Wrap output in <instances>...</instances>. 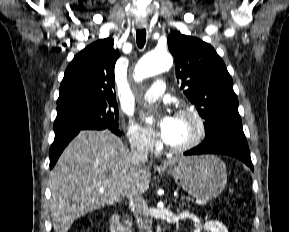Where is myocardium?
Wrapping results in <instances>:
<instances>
[{"label":"myocardium","instance_id":"obj_1","mask_svg":"<svg viewBox=\"0 0 289 232\" xmlns=\"http://www.w3.org/2000/svg\"><path fill=\"white\" fill-rule=\"evenodd\" d=\"M189 116L191 117L197 127V131L192 140L182 146H172L169 145L168 149L173 153H185L197 147L205 138L206 135V122L203 116L198 110L193 107H183L179 109L176 113V117Z\"/></svg>","mask_w":289,"mask_h":232}]
</instances>
